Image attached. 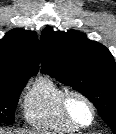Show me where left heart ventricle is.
Here are the masks:
<instances>
[{
  "label": "left heart ventricle",
  "instance_id": "1",
  "mask_svg": "<svg viewBox=\"0 0 116 134\" xmlns=\"http://www.w3.org/2000/svg\"><path fill=\"white\" fill-rule=\"evenodd\" d=\"M69 108L72 115L77 119L79 122L83 124H87L90 122L91 119V112L88 106L78 98H73L70 100Z\"/></svg>",
  "mask_w": 116,
  "mask_h": 134
}]
</instances>
